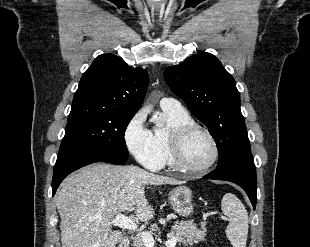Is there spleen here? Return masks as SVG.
<instances>
[{"label":"spleen","instance_id":"spleen-1","mask_svg":"<svg viewBox=\"0 0 310 247\" xmlns=\"http://www.w3.org/2000/svg\"><path fill=\"white\" fill-rule=\"evenodd\" d=\"M221 209L229 218L226 236L233 247H246L248 235V213L242 202L232 193H227L221 201Z\"/></svg>","mask_w":310,"mask_h":247}]
</instances>
